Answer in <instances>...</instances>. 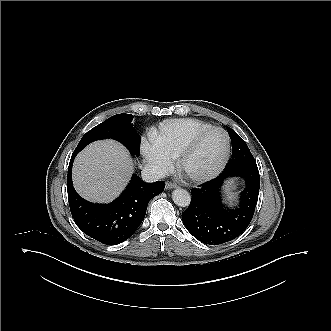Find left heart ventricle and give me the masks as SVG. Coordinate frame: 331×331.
Returning <instances> with one entry per match:
<instances>
[{"mask_svg": "<svg viewBox=\"0 0 331 331\" xmlns=\"http://www.w3.org/2000/svg\"><path fill=\"white\" fill-rule=\"evenodd\" d=\"M225 147L222 133L215 131L204 136L187 158L185 172L189 175L206 174L220 162Z\"/></svg>", "mask_w": 331, "mask_h": 331, "instance_id": "b2bd125f", "label": "left heart ventricle"}]
</instances>
